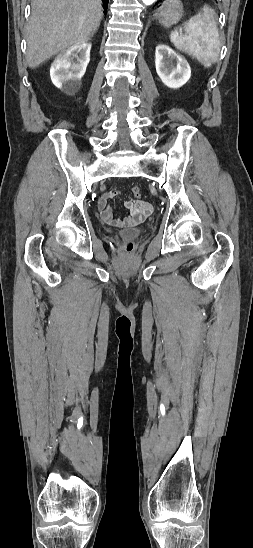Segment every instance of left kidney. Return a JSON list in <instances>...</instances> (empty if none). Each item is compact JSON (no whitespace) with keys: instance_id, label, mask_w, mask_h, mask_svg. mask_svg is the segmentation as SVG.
Masks as SVG:
<instances>
[{"instance_id":"5707ae66","label":"left kidney","mask_w":253,"mask_h":548,"mask_svg":"<svg viewBox=\"0 0 253 548\" xmlns=\"http://www.w3.org/2000/svg\"><path fill=\"white\" fill-rule=\"evenodd\" d=\"M155 66L161 81L172 89L183 86L191 76V69L186 59L164 44L156 47Z\"/></svg>"}]
</instances>
